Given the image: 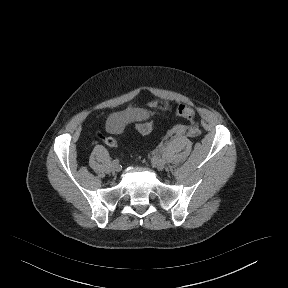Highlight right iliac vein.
<instances>
[{"label":"right iliac vein","instance_id":"1","mask_svg":"<svg viewBox=\"0 0 288 288\" xmlns=\"http://www.w3.org/2000/svg\"><path fill=\"white\" fill-rule=\"evenodd\" d=\"M111 167H112V170L116 171V172L120 171V169H121V167H120L118 162H112Z\"/></svg>","mask_w":288,"mask_h":288}]
</instances>
